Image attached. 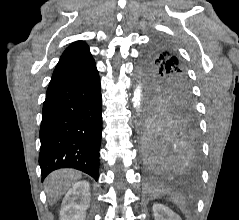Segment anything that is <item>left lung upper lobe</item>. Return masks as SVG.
<instances>
[{
	"label": "left lung upper lobe",
	"instance_id": "left-lung-upper-lobe-1",
	"mask_svg": "<svg viewBox=\"0 0 239 220\" xmlns=\"http://www.w3.org/2000/svg\"><path fill=\"white\" fill-rule=\"evenodd\" d=\"M142 70L148 81L147 122L159 112H194L185 64L171 44L155 41L143 55Z\"/></svg>",
	"mask_w": 239,
	"mask_h": 220
}]
</instances>
